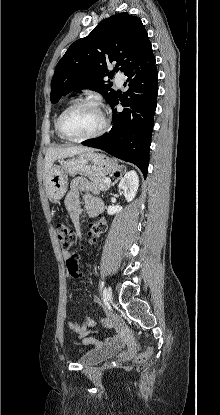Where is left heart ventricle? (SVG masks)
Here are the masks:
<instances>
[{"mask_svg":"<svg viewBox=\"0 0 220 415\" xmlns=\"http://www.w3.org/2000/svg\"><path fill=\"white\" fill-rule=\"evenodd\" d=\"M101 125L100 111L94 106L86 105L67 115L63 122V130L69 137L78 138L95 133Z\"/></svg>","mask_w":220,"mask_h":415,"instance_id":"b2bd125f","label":"left heart ventricle"}]
</instances>
